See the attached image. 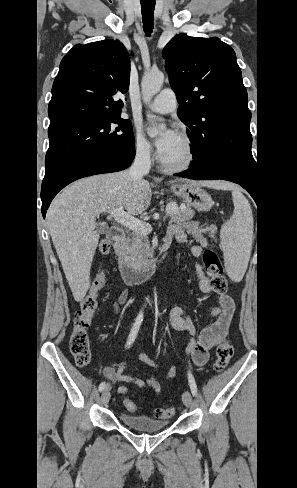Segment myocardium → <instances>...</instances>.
<instances>
[{
  "mask_svg": "<svg viewBox=\"0 0 297 488\" xmlns=\"http://www.w3.org/2000/svg\"><path fill=\"white\" fill-rule=\"evenodd\" d=\"M178 136L184 141V143L187 147L188 156H187V159L183 163L177 164V165L168 164V163L164 162L161 159V157H159L158 162H159L161 168H163L165 171H168V172L186 171V170L190 169L196 161L197 151H196V146H195L193 139L188 134L183 133V132L179 133Z\"/></svg>",
  "mask_w": 297,
  "mask_h": 488,
  "instance_id": "obj_1",
  "label": "myocardium"
}]
</instances>
